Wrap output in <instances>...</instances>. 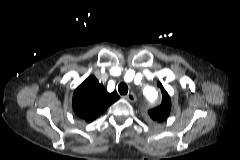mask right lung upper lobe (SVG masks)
<instances>
[{
  "label": "right lung upper lobe",
  "instance_id": "right-lung-upper-lobe-1",
  "mask_svg": "<svg viewBox=\"0 0 240 160\" xmlns=\"http://www.w3.org/2000/svg\"><path fill=\"white\" fill-rule=\"evenodd\" d=\"M118 99L116 92L108 93L95 77L90 76L74 91L72 105L78 117L91 122Z\"/></svg>",
  "mask_w": 240,
  "mask_h": 160
}]
</instances>
